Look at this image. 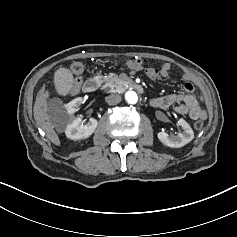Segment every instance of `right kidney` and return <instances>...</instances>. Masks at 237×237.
I'll use <instances>...</instances> for the list:
<instances>
[{
  "label": "right kidney",
  "mask_w": 237,
  "mask_h": 237,
  "mask_svg": "<svg viewBox=\"0 0 237 237\" xmlns=\"http://www.w3.org/2000/svg\"><path fill=\"white\" fill-rule=\"evenodd\" d=\"M82 104V98L77 97L68 104V112L70 116V123L67 125L65 134L67 138L72 140H79L88 138L97 127V120L90 118L89 121L84 124L80 117L75 116V112L78 111Z\"/></svg>",
  "instance_id": "1"
}]
</instances>
